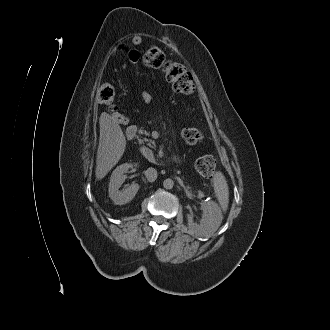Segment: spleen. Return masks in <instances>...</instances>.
Returning a JSON list of instances; mask_svg holds the SVG:
<instances>
[{"mask_svg": "<svg viewBox=\"0 0 330 330\" xmlns=\"http://www.w3.org/2000/svg\"><path fill=\"white\" fill-rule=\"evenodd\" d=\"M214 191L223 211H226L229 203V190L225 176L216 172L213 177Z\"/></svg>", "mask_w": 330, "mask_h": 330, "instance_id": "obj_1", "label": "spleen"}]
</instances>
